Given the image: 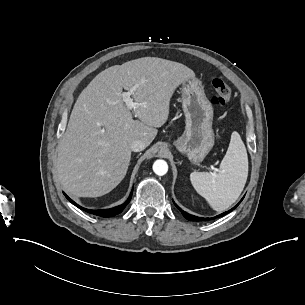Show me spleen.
<instances>
[{
	"label": "spleen",
	"mask_w": 305,
	"mask_h": 305,
	"mask_svg": "<svg viewBox=\"0 0 305 305\" xmlns=\"http://www.w3.org/2000/svg\"><path fill=\"white\" fill-rule=\"evenodd\" d=\"M248 177L246 147L238 132L231 134L229 147L219 173L192 172L190 180L197 191L216 211H224L240 196Z\"/></svg>",
	"instance_id": "spleen-1"
}]
</instances>
